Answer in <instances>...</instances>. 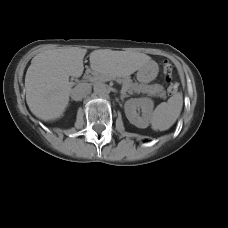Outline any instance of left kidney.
<instances>
[{"instance_id":"1","label":"left kidney","mask_w":228,"mask_h":228,"mask_svg":"<svg viewBox=\"0 0 228 228\" xmlns=\"http://www.w3.org/2000/svg\"><path fill=\"white\" fill-rule=\"evenodd\" d=\"M153 107L154 103L151 99L135 98L125 102L124 111L127 119L131 124L135 125L138 128H146L149 126ZM139 108L142 112L141 116H139L136 111Z\"/></svg>"}]
</instances>
